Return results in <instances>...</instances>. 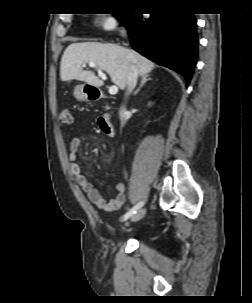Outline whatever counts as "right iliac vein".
<instances>
[{
    "mask_svg": "<svg viewBox=\"0 0 252 303\" xmlns=\"http://www.w3.org/2000/svg\"><path fill=\"white\" fill-rule=\"evenodd\" d=\"M146 213V210L145 209H140L138 210L136 213H134L132 216H131V221L132 222H137L139 221L140 219H142L144 217Z\"/></svg>",
    "mask_w": 252,
    "mask_h": 303,
    "instance_id": "63e3f726",
    "label": "right iliac vein"
}]
</instances>
